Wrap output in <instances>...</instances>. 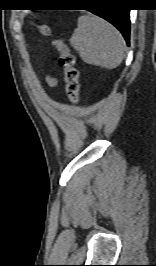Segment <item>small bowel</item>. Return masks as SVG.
Wrapping results in <instances>:
<instances>
[{
	"label": "small bowel",
	"instance_id": "c3829d8e",
	"mask_svg": "<svg viewBox=\"0 0 156 266\" xmlns=\"http://www.w3.org/2000/svg\"><path fill=\"white\" fill-rule=\"evenodd\" d=\"M45 83L49 86V87H55L58 83L57 79L52 77V76H47L45 78Z\"/></svg>",
	"mask_w": 156,
	"mask_h": 266
}]
</instances>
